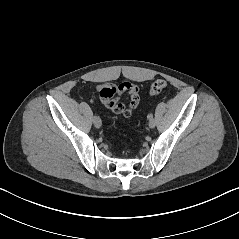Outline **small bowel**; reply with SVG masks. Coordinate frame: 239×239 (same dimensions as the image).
Instances as JSON below:
<instances>
[{"instance_id": "obj_1", "label": "small bowel", "mask_w": 239, "mask_h": 239, "mask_svg": "<svg viewBox=\"0 0 239 239\" xmlns=\"http://www.w3.org/2000/svg\"><path fill=\"white\" fill-rule=\"evenodd\" d=\"M125 96V101L121 100ZM101 103L116 114L130 118L140 103L139 88L137 85L125 82L118 87L105 85L98 91Z\"/></svg>"}]
</instances>
